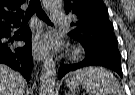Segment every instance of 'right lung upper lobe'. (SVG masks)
<instances>
[{
	"label": "right lung upper lobe",
	"instance_id": "cb5924a9",
	"mask_svg": "<svg viewBox=\"0 0 135 95\" xmlns=\"http://www.w3.org/2000/svg\"><path fill=\"white\" fill-rule=\"evenodd\" d=\"M25 0H0V28L11 26H18L23 11L20 5Z\"/></svg>",
	"mask_w": 135,
	"mask_h": 95
}]
</instances>
